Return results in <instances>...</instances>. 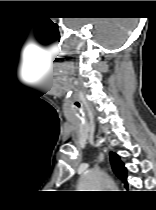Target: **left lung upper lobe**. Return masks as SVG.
Instances as JSON below:
<instances>
[{
  "label": "left lung upper lobe",
  "mask_w": 156,
  "mask_h": 210,
  "mask_svg": "<svg viewBox=\"0 0 156 210\" xmlns=\"http://www.w3.org/2000/svg\"><path fill=\"white\" fill-rule=\"evenodd\" d=\"M110 160L112 163V168L114 173L124 181V183H127V169L124 166L123 162H121L119 156L115 153H110ZM127 185V184H126Z\"/></svg>",
  "instance_id": "1"
}]
</instances>
